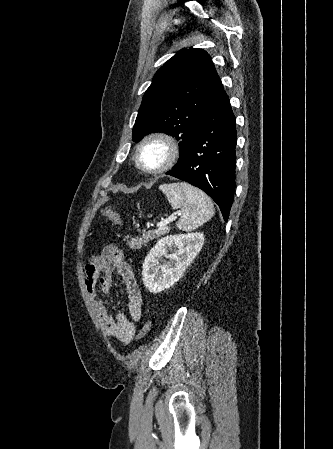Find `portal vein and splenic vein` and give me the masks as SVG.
Returning <instances> with one entry per match:
<instances>
[{"mask_svg":"<svg viewBox=\"0 0 333 449\" xmlns=\"http://www.w3.org/2000/svg\"><path fill=\"white\" fill-rule=\"evenodd\" d=\"M176 219H177V216L175 214H173L168 219L158 223L157 227L160 228V227L166 226V225L170 224L171 222L175 221Z\"/></svg>","mask_w":333,"mask_h":449,"instance_id":"18ae733b","label":"portal vein and splenic vein"}]
</instances>
